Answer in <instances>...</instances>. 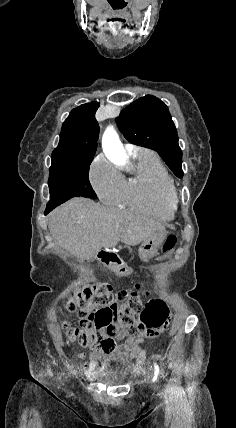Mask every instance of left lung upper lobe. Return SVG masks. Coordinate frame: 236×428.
Segmentation results:
<instances>
[{
	"mask_svg": "<svg viewBox=\"0 0 236 428\" xmlns=\"http://www.w3.org/2000/svg\"><path fill=\"white\" fill-rule=\"evenodd\" d=\"M125 138L158 152L174 174L182 178V151L168 107L152 95L141 97L116 119Z\"/></svg>",
	"mask_w": 236,
	"mask_h": 428,
	"instance_id": "5c2ea615",
	"label": "left lung upper lobe"
}]
</instances>
